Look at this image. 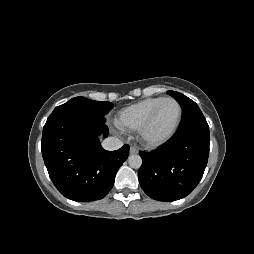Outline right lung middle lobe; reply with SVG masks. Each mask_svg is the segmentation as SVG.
Instances as JSON below:
<instances>
[{"instance_id": "1", "label": "right lung middle lobe", "mask_w": 254, "mask_h": 254, "mask_svg": "<svg viewBox=\"0 0 254 254\" xmlns=\"http://www.w3.org/2000/svg\"><path fill=\"white\" fill-rule=\"evenodd\" d=\"M113 107L111 102H100L86 99L84 97H75L68 102L56 107L54 110L72 109L85 113L106 115Z\"/></svg>"}]
</instances>
